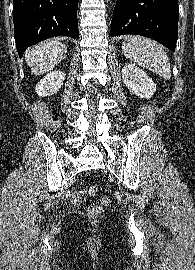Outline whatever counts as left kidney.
<instances>
[{
	"instance_id": "left-kidney-1",
	"label": "left kidney",
	"mask_w": 195,
	"mask_h": 270,
	"mask_svg": "<svg viewBox=\"0 0 195 270\" xmlns=\"http://www.w3.org/2000/svg\"><path fill=\"white\" fill-rule=\"evenodd\" d=\"M122 78L126 87L140 98L150 99L156 91V84L153 80L132 63L123 67Z\"/></svg>"
}]
</instances>
